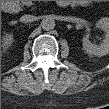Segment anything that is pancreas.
Here are the masks:
<instances>
[{"label": "pancreas", "instance_id": "cf45deb5", "mask_svg": "<svg viewBox=\"0 0 109 109\" xmlns=\"http://www.w3.org/2000/svg\"><path fill=\"white\" fill-rule=\"evenodd\" d=\"M32 4H33L32 1H22V5L30 6Z\"/></svg>", "mask_w": 109, "mask_h": 109}]
</instances>
